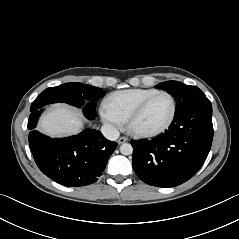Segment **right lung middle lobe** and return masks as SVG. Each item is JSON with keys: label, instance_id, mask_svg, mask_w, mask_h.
Instances as JSON below:
<instances>
[{"label": "right lung middle lobe", "instance_id": "right-lung-middle-lobe-1", "mask_svg": "<svg viewBox=\"0 0 239 239\" xmlns=\"http://www.w3.org/2000/svg\"><path fill=\"white\" fill-rule=\"evenodd\" d=\"M106 91L102 88L81 83H66L44 90L32 103L30 117L40 115V109L53 103H67L77 107L86 105L83 113L87 118L96 116V102L105 95Z\"/></svg>", "mask_w": 239, "mask_h": 239}]
</instances>
